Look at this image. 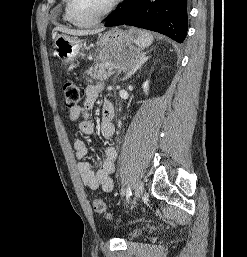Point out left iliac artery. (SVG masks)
Instances as JSON below:
<instances>
[{
	"label": "left iliac artery",
	"instance_id": "left-iliac-artery-1",
	"mask_svg": "<svg viewBox=\"0 0 247 257\" xmlns=\"http://www.w3.org/2000/svg\"><path fill=\"white\" fill-rule=\"evenodd\" d=\"M131 189H130V187H127V189H126V200H127V202L129 201V199H130V197H131Z\"/></svg>",
	"mask_w": 247,
	"mask_h": 257
}]
</instances>
